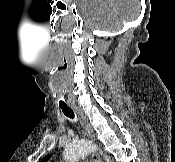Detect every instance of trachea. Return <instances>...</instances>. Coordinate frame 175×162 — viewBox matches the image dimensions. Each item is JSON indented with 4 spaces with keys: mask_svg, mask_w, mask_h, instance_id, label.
<instances>
[{
    "mask_svg": "<svg viewBox=\"0 0 175 162\" xmlns=\"http://www.w3.org/2000/svg\"><path fill=\"white\" fill-rule=\"evenodd\" d=\"M61 109H62L63 114H64L66 117H69V118H71V119L74 118V113H73V111H72L70 108L61 107Z\"/></svg>",
    "mask_w": 175,
    "mask_h": 162,
    "instance_id": "trachea-1",
    "label": "trachea"
}]
</instances>
